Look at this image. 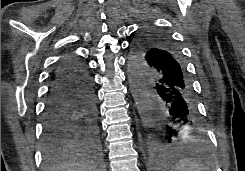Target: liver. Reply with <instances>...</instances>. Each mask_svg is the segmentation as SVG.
Returning <instances> with one entry per match:
<instances>
[{
  "label": "liver",
  "mask_w": 245,
  "mask_h": 171,
  "mask_svg": "<svg viewBox=\"0 0 245 171\" xmlns=\"http://www.w3.org/2000/svg\"><path fill=\"white\" fill-rule=\"evenodd\" d=\"M53 171H97V169L87 163L72 161L57 166Z\"/></svg>",
  "instance_id": "obj_1"
}]
</instances>
